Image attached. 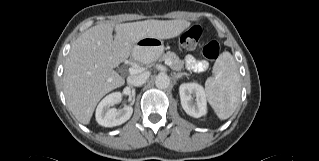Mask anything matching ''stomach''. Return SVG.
Here are the masks:
<instances>
[{
  "mask_svg": "<svg viewBox=\"0 0 319 161\" xmlns=\"http://www.w3.org/2000/svg\"><path fill=\"white\" fill-rule=\"evenodd\" d=\"M164 44L158 38H142L133 48V57L142 63H151L157 60L163 53Z\"/></svg>",
  "mask_w": 319,
  "mask_h": 161,
  "instance_id": "0dacf381",
  "label": "stomach"
}]
</instances>
